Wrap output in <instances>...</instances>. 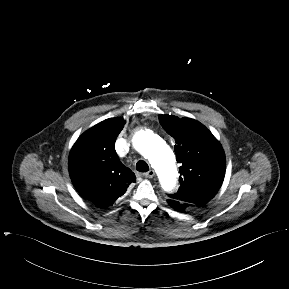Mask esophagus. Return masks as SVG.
Returning <instances> with one entry per match:
<instances>
[{
    "mask_svg": "<svg viewBox=\"0 0 289 289\" xmlns=\"http://www.w3.org/2000/svg\"><path fill=\"white\" fill-rule=\"evenodd\" d=\"M143 175H144V177H146V178H153L154 175H155V171L151 169V170H149L148 172L144 173Z\"/></svg>",
    "mask_w": 289,
    "mask_h": 289,
    "instance_id": "esophagus-1",
    "label": "esophagus"
}]
</instances>
